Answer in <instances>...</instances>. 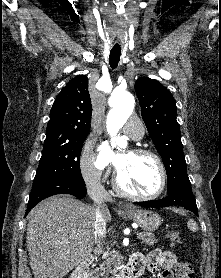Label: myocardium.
Listing matches in <instances>:
<instances>
[{
    "instance_id": "myocardium-1",
    "label": "myocardium",
    "mask_w": 221,
    "mask_h": 278,
    "mask_svg": "<svg viewBox=\"0 0 221 278\" xmlns=\"http://www.w3.org/2000/svg\"><path fill=\"white\" fill-rule=\"evenodd\" d=\"M131 152L135 155L151 157L156 161L160 171L159 187L154 193H150V194H138L132 192L122 185L120 180V173L117 170L115 172V176L113 180L115 189L125 197H128L130 199H135V200H153L160 197L165 191L167 185V171L161 157L157 153L153 152L152 150L145 149V148H134L132 149Z\"/></svg>"
}]
</instances>
